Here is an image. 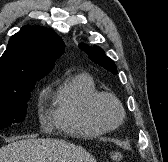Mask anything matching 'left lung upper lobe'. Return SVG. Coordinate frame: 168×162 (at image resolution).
Here are the masks:
<instances>
[{
    "label": "left lung upper lobe",
    "instance_id": "1",
    "mask_svg": "<svg viewBox=\"0 0 168 162\" xmlns=\"http://www.w3.org/2000/svg\"><path fill=\"white\" fill-rule=\"evenodd\" d=\"M79 48L86 52L93 62L104 67L106 70L110 71L114 75L118 73L114 61L107 57L104 51L99 46L91 47L82 43L79 45Z\"/></svg>",
    "mask_w": 168,
    "mask_h": 162
}]
</instances>
